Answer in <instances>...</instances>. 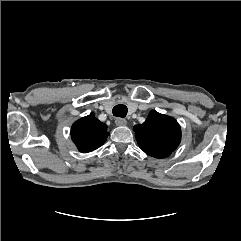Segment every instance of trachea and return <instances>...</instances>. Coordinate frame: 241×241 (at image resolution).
Here are the masks:
<instances>
[{"instance_id":"trachea-1","label":"trachea","mask_w":241,"mask_h":241,"mask_svg":"<svg viewBox=\"0 0 241 241\" xmlns=\"http://www.w3.org/2000/svg\"><path fill=\"white\" fill-rule=\"evenodd\" d=\"M112 111L114 116L124 118L127 115L128 109L125 105L118 104Z\"/></svg>"}]
</instances>
